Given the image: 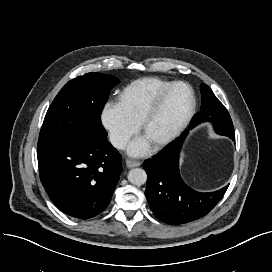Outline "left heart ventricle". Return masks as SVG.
<instances>
[{
  "instance_id": "b2bd125f",
  "label": "left heart ventricle",
  "mask_w": 272,
  "mask_h": 272,
  "mask_svg": "<svg viewBox=\"0 0 272 272\" xmlns=\"http://www.w3.org/2000/svg\"><path fill=\"white\" fill-rule=\"evenodd\" d=\"M189 103L187 89L176 88L147 126L143 133L146 140L153 143L174 130L185 116Z\"/></svg>"
}]
</instances>
